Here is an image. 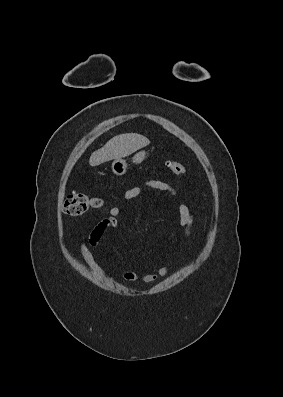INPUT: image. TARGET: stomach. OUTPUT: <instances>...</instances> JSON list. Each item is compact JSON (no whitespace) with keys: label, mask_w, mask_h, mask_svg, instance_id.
<instances>
[{"label":"stomach","mask_w":283,"mask_h":397,"mask_svg":"<svg viewBox=\"0 0 283 397\" xmlns=\"http://www.w3.org/2000/svg\"><path fill=\"white\" fill-rule=\"evenodd\" d=\"M145 157L146 152L141 151L133 157V161L136 163H141L145 159ZM111 168L114 174H116L117 176H122L126 173L127 163L125 160L118 158L113 161Z\"/></svg>","instance_id":"stomach-1"}]
</instances>
